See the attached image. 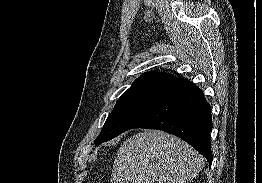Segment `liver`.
<instances>
[{
  "label": "liver",
  "mask_w": 262,
  "mask_h": 183,
  "mask_svg": "<svg viewBox=\"0 0 262 183\" xmlns=\"http://www.w3.org/2000/svg\"><path fill=\"white\" fill-rule=\"evenodd\" d=\"M204 159L180 138L146 130L128 138L114 160L112 183H188Z\"/></svg>",
  "instance_id": "1"
}]
</instances>
